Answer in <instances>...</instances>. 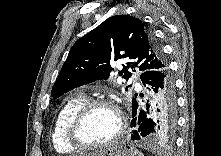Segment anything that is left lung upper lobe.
<instances>
[{
    "mask_svg": "<svg viewBox=\"0 0 221 156\" xmlns=\"http://www.w3.org/2000/svg\"><path fill=\"white\" fill-rule=\"evenodd\" d=\"M119 59L128 60L119 72L126 80L132 75L131 69L142 74L167 65L159 44L141 20L115 15L73 45L51 96L58 98L78 86L107 79L113 70L111 63Z\"/></svg>",
    "mask_w": 221,
    "mask_h": 156,
    "instance_id": "1",
    "label": "left lung upper lobe"
}]
</instances>
